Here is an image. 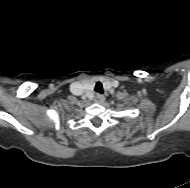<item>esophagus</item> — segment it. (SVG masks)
<instances>
[{
    "instance_id": "34e87169",
    "label": "esophagus",
    "mask_w": 190,
    "mask_h": 188,
    "mask_svg": "<svg viewBox=\"0 0 190 188\" xmlns=\"http://www.w3.org/2000/svg\"><path fill=\"white\" fill-rule=\"evenodd\" d=\"M94 101H95L96 103H98V104H102V103L105 101V96L102 95V94H97V95L95 96Z\"/></svg>"
}]
</instances>
